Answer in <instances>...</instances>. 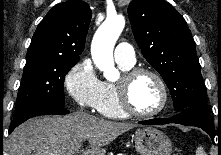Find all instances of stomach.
I'll return each instance as SVG.
<instances>
[{
	"instance_id": "0dacf381",
	"label": "stomach",
	"mask_w": 221,
	"mask_h": 155,
	"mask_svg": "<svg viewBox=\"0 0 221 155\" xmlns=\"http://www.w3.org/2000/svg\"><path fill=\"white\" fill-rule=\"evenodd\" d=\"M135 148L139 155H171L170 139L160 130L144 127L135 133Z\"/></svg>"
}]
</instances>
